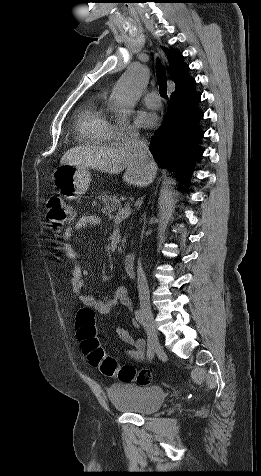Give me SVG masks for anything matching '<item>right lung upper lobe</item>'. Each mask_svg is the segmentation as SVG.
Wrapping results in <instances>:
<instances>
[{
    "label": "right lung upper lobe",
    "instance_id": "cb5924a9",
    "mask_svg": "<svg viewBox=\"0 0 261 476\" xmlns=\"http://www.w3.org/2000/svg\"><path fill=\"white\" fill-rule=\"evenodd\" d=\"M169 61V74L175 82L176 88L182 86L190 77L188 76L189 67L183 62V56L176 51H170L163 48Z\"/></svg>",
    "mask_w": 261,
    "mask_h": 476
}]
</instances>
